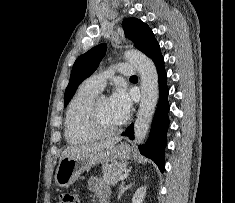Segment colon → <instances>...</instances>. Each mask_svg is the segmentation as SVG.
<instances>
[{"label": "colon", "mask_w": 235, "mask_h": 203, "mask_svg": "<svg viewBox=\"0 0 235 203\" xmlns=\"http://www.w3.org/2000/svg\"><path fill=\"white\" fill-rule=\"evenodd\" d=\"M58 203H81L80 198L75 193H63L60 195Z\"/></svg>", "instance_id": "colon-1"}]
</instances>
